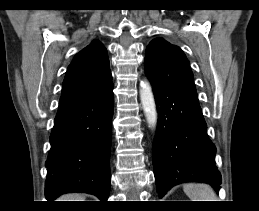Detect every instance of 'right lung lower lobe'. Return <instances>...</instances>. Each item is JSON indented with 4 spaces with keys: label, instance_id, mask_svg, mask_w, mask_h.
Wrapping results in <instances>:
<instances>
[{
    "label": "right lung lower lobe",
    "instance_id": "1",
    "mask_svg": "<svg viewBox=\"0 0 259 211\" xmlns=\"http://www.w3.org/2000/svg\"><path fill=\"white\" fill-rule=\"evenodd\" d=\"M113 108V85L92 98L58 108L46 161L48 201L69 192L107 201Z\"/></svg>",
    "mask_w": 259,
    "mask_h": 211
}]
</instances>
